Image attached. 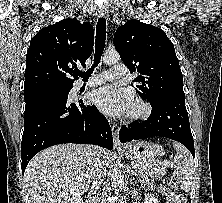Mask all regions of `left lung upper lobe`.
Wrapping results in <instances>:
<instances>
[{"label": "left lung upper lobe", "instance_id": "5c2ea615", "mask_svg": "<svg viewBox=\"0 0 222 203\" xmlns=\"http://www.w3.org/2000/svg\"><path fill=\"white\" fill-rule=\"evenodd\" d=\"M113 42L130 72L140 73L134 82L141 98L154 103L168 95L185 97L179 61L163 30L133 19L118 27Z\"/></svg>", "mask_w": 222, "mask_h": 203}]
</instances>
